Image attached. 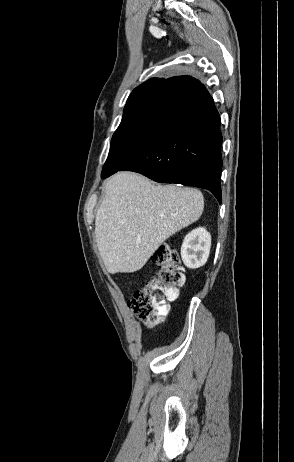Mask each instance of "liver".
Instances as JSON below:
<instances>
[{"mask_svg": "<svg viewBox=\"0 0 294 462\" xmlns=\"http://www.w3.org/2000/svg\"><path fill=\"white\" fill-rule=\"evenodd\" d=\"M204 208L193 188L155 186L146 177L120 172L108 179L95 217V235L107 271L140 270L170 236L197 221Z\"/></svg>", "mask_w": 294, "mask_h": 462, "instance_id": "6515ba94", "label": "liver"}]
</instances>
